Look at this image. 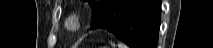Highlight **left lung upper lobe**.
<instances>
[{
  "instance_id": "1",
  "label": "left lung upper lobe",
  "mask_w": 213,
  "mask_h": 48,
  "mask_svg": "<svg viewBox=\"0 0 213 48\" xmlns=\"http://www.w3.org/2000/svg\"><path fill=\"white\" fill-rule=\"evenodd\" d=\"M93 8L92 20L97 17L101 10L109 3L110 0H85Z\"/></svg>"
}]
</instances>
